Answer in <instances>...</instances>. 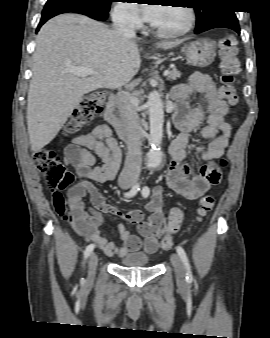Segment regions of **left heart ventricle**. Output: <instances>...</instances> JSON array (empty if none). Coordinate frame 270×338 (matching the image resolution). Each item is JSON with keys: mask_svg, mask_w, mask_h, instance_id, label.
Returning a JSON list of instances; mask_svg holds the SVG:
<instances>
[{"mask_svg": "<svg viewBox=\"0 0 270 338\" xmlns=\"http://www.w3.org/2000/svg\"><path fill=\"white\" fill-rule=\"evenodd\" d=\"M187 22V13L182 7L163 6L152 24L159 30L175 31Z\"/></svg>", "mask_w": 270, "mask_h": 338, "instance_id": "obj_1", "label": "left heart ventricle"}]
</instances>
